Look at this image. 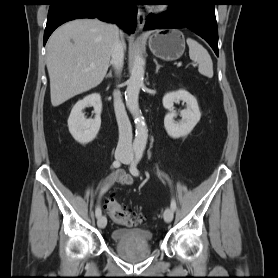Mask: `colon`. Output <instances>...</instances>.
<instances>
[{
  "mask_svg": "<svg viewBox=\"0 0 278 278\" xmlns=\"http://www.w3.org/2000/svg\"><path fill=\"white\" fill-rule=\"evenodd\" d=\"M106 209L114 221L124 226H137L144 220V216L140 212L127 209L114 198L106 201Z\"/></svg>",
  "mask_w": 278,
  "mask_h": 278,
  "instance_id": "1",
  "label": "colon"
}]
</instances>
